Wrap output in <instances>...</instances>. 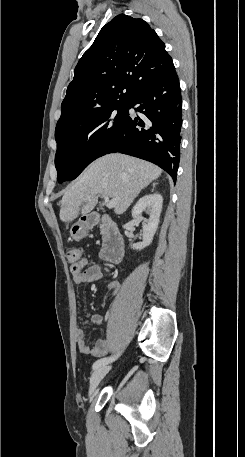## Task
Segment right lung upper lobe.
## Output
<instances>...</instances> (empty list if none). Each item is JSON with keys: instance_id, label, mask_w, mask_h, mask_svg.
<instances>
[{"instance_id": "obj_1", "label": "right lung upper lobe", "mask_w": 245, "mask_h": 457, "mask_svg": "<svg viewBox=\"0 0 245 457\" xmlns=\"http://www.w3.org/2000/svg\"><path fill=\"white\" fill-rule=\"evenodd\" d=\"M174 69L155 31L142 19L120 14L75 67L56 127L112 102L130 101L147 81Z\"/></svg>"}]
</instances>
